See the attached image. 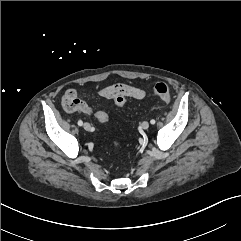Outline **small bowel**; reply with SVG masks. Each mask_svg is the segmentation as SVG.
<instances>
[{
    "mask_svg": "<svg viewBox=\"0 0 241 241\" xmlns=\"http://www.w3.org/2000/svg\"><path fill=\"white\" fill-rule=\"evenodd\" d=\"M114 87L126 88L127 91L125 95L127 98L141 100L146 96V91L144 89L122 83L103 87L98 91V94L105 99H113V96L110 95L109 92ZM62 106L68 113L81 111L88 115H94L97 119L99 114L102 112L100 110H94L91 106H89L88 103L78 95V92L74 88H69L65 91L62 97Z\"/></svg>",
    "mask_w": 241,
    "mask_h": 241,
    "instance_id": "c3829d8e",
    "label": "small bowel"
}]
</instances>
